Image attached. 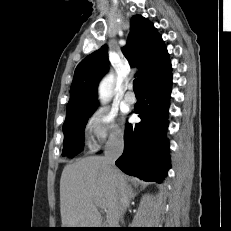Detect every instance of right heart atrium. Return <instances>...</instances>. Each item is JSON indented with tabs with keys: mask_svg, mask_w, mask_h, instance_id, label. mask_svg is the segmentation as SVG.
<instances>
[{
	"mask_svg": "<svg viewBox=\"0 0 231 231\" xmlns=\"http://www.w3.org/2000/svg\"><path fill=\"white\" fill-rule=\"evenodd\" d=\"M84 135L91 148L122 140L123 133L116 121L115 114L105 107L95 109L86 119Z\"/></svg>",
	"mask_w": 231,
	"mask_h": 231,
	"instance_id": "1",
	"label": "right heart atrium"
}]
</instances>
